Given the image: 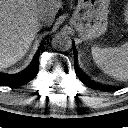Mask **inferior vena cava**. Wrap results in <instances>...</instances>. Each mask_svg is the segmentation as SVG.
I'll return each instance as SVG.
<instances>
[{
  "mask_svg": "<svg viewBox=\"0 0 128 128\" xmlns=\"http://www.w3.org/2000/svg\"><path fill=\"white\" fill-rule=\"evenodd\" d=\"M39 20L41 21H46L47 20V14L46 13H43L39 16Z\"/></svg>",
  "mask_w": 128,
  "mask_h": 128,
  "instance_id": "obj_1",
  "label": "inferior vena cava"
}]
</instances>
